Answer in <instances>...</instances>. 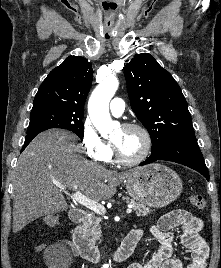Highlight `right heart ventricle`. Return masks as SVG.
Wrapping results in <instances>:
<instances>
[{
  "instance_id": "1",
  "label": "right heart ventricle",
  "mask_w": 221,
  "mask_h": 268,
  "mask_svg": "<svg viewBox=\"0 0 221 268\" xmlns=\"http://www.w3.org/2000/svg\"><path fill=\"white\" fill-rule=\"evenodd\" d=\"M112 156H113V152L111 151V153H110V155H109V157H108V159L106 161H111Z\"/></svg>"
}]
</instances>
